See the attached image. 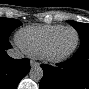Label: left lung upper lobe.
Listing matches in <instances>:
<instances>
[{
  "label": "left lung upper lobe",
  "mask_w": 89,
  "mask_h": 89,
  "mask_svg": "<svg viewBox=\"0 0 89 89\" xmlns=\"http://www.w3.org/2000/svg\"><path fill=\"white\" fill-rule=\"evenodd\" d=\"M78 32L80 41L89 40V25L86 23H80L75 21H68Z\"/></svg>",
  "instance_id": "left-lung-upper-lobe-1"
}]
</instances>
